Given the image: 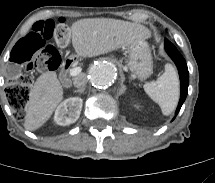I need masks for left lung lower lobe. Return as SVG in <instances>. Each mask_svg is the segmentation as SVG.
<instances>
[{
	"instance_id": "left-lung-lower-lobe-1",
	"label": "left lung lower lobe",
	"mask_w": 215,
	"mask_h": 183,
	"mask_svg": "<svg viewBox=\"0 0 215 183\" xmlns=\"http://www.w3.org/2000/svg\"><path fill=\"white\" fill-rule=\"evenodd\" d=\"M165 49L168 53V55L171 57V59L174 61L178 72H179V78H180V100L175 112V116L179 113L182 104L184 103L187 93H188V85H189V72L187 68V64L185 59L182 57V55L178 52L176 47L169 42L167 39H165L164 42ZM175 119V117L173 118Z\"/></svg>"
}]
</instances>
